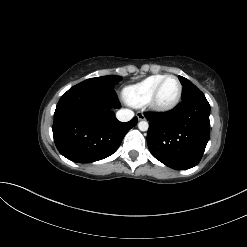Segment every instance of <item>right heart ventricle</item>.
<instances>
[{
  "instance_id": "obj_1",
  "label": "right heart ventricle",
  "mask_w": 247,
  "mask_h": 247,
  "mask_svg": "<svg viewBox=\"0 0 247 247\" xmlns=\"http://www.w3.org/2000/svg\"><path fill=\"white\" fill-rule=\"evenodd\" d=\"M165 76L164 74L152 75L136 84L126 87L123 91L126 101L135 107H141L147 104L156 86Z\"/></svg>"
}]
</instances>
